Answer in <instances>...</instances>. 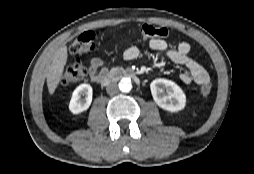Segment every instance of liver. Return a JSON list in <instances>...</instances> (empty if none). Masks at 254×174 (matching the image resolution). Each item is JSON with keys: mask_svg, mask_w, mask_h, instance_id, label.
Listing matches in <instances>:
<instances>
[{"mask_svg": "<svg viewBox=\"0 0 254 174\" xmlns=\"http://www.w3.org/2000/svg\"><path fill=\"white\" fill-rule=\"evenodd\" d=\"M67 57L68 54L66 46L59 48L54 55L47 73V87L50 94L55 92L59 82L61 81Z\"/></svg>", "mask_w": 254, "mask_h": 174, "instance_id": "liver-1", "label": "liver"}]
</instances>
